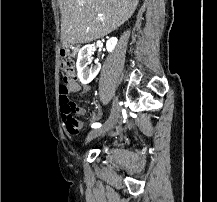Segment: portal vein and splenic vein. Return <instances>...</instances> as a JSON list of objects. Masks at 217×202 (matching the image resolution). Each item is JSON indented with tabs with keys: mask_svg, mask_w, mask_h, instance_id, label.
<instances>
[{
	"mask_svg": "<svg viewBox=\"0 0 217 202\" xmlns=\"http://www.w3.org/2000/svg\"><path fill=\"white\" fill-rule=\"evenodd\" d=\"M96 20H100V22H104L105 18H102L101 14H99L98 18Z\"/></svg>",
	"mask_w": 217,
	"mask_h": 202,
	"instance_id": "1",
	"label": "portal vein and splenic vein"
}]
</instances>
